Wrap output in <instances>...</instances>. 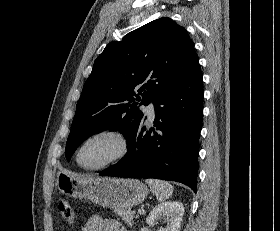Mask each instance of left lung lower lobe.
Returning <instances> with one entry per match:
<instances>
[{
  "label": "left lung lower lobe",
  "instance_id": "obj_1",
  "mask_svg": "<svg viewBox=\"0 0 280 231\" xmlns=\"http://www.w3.org/2000/svg\"><path fill=\"white\" fill-rule=\"evenodd\" d=\"M203 95L199 68L153 102L158 131L145 133L142 120L127 139V155L100 174L176 181L196 193Z\"/></svg>",
  "mask_w": 280,
  "mask_h": 231
}]
</instances>
